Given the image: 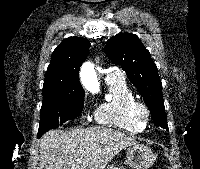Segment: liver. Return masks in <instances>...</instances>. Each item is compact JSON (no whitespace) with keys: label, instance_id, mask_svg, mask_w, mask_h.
Wrapping results in <instances>:
<instances>
[{"label":"liver","instance_id":"6515ba94","mask_svg":"<svg viewBox=\"0 0 200 169\" xmlns=\"http://www.w3.org/2000/svg\"><path fill=\"white\" fill-rule=\"evenodd\" d=\"M135 138L104 127L50 130L39 140L38 169H105Z\"/></svg>","mask_w":200,"mask_h":169}]
</instances>
